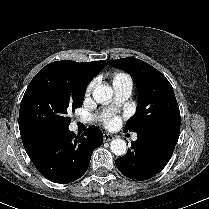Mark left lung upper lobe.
<instances>
[{"label": "left lung upper lobe", "instance_id": "left-lung-upper-lobe-1", "mask_svg": "<svg viewBox=\"0 0 209 209\" xmlns=\"http://www.w3.org/2000/svg\"><path fill=\"white\" fill-rule=\"evenodd\" d=\"M108 64L133 76L138 87L135 115L123 131H179L180 111L173 88L166 77L148 63L133 58L110 60Z\"/></svg>", "mask_w": 209, "mask_h": 209}]
</instances>
